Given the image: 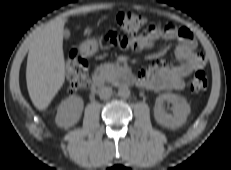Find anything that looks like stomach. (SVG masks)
<instances>
[{
    "mask_svg": "<svg viewBox=\"0 0 231 170\" xmlns=\"http://www.w3.org/2000/svg\"><path fill=\"white\" fill-rule=\"evenodd\" d=\"M82 48H83L84 53H86L88 55H92L97 51L98 43L95 39H90V40H87L83 44Z\"/></svg>",
    "mask_w": 231,
    "mask_h": 170,
    "instance_id": "1",
    "label": "stomach"
}]
</instances>
